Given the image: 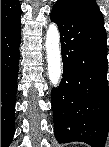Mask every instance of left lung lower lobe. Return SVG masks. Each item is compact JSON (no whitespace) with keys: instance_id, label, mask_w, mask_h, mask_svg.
Segmentation results:
<instances>
[{"instance_id":"left-lung-lower-lobe-1","label":"left lung lower lobe","mask_w":109,"mask_h":147,"mask_svg":"<svg viewBox=\"0 0 109 147\" xmlns=\"http://www.w3.org/2000/svg\"><path fill=\"white\" fill-rule=\"evenodd\" d=\"M50 17L60 30L63 61V78L52 90L55 137L59 143L104 147L109 130L106 30L57 5ZM71 72L81 79L76 90L65 84Z\"/></svg>"}]
</instances>
